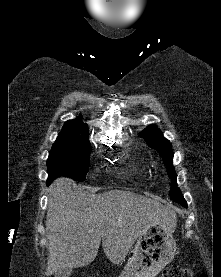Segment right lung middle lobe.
I'll list each match as a JSON object with an SVG mask.
<instances>
[{"label": "right lung middle lobe", "mask_w": 221, "mask_h": 277, "mask_svg": "<svg viewBox=\"0 0 221 277\" xmlns=\"http://www.w3.org/2000/svg\"><path fill=\"white\" fill-rule=\"evenodd\" d=\"M90 151L89 138L58 137L47 160V185L59 176L84 181L89 170Z\"/></svg>", "instance_id": "obj_1"}]
</instances>
